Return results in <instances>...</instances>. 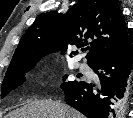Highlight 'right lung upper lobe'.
Listing matches in <instances>:
<instances>
[{
	"label": "right lung upper lobe",
	"instance_id": "right-lung-upper-lobe-1",
	"mask_svg": "<svg viewBox=\"0 0 133 118\" xmlns=\"http://www.w3.org/2000/svg\"><path fill=\"white\" fill-rule=\"evenodd\" d=\"M89 38L93 41L86 55L88 64L127 41L116 1L80 0L66 15L57 11L40 14L22 36L8 68L39 61L53 51H65L68 44L81 48Z\"/></svg>",
	"mask_w": 133,
	"mask_h": 118
}]
</instances>
